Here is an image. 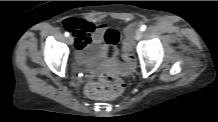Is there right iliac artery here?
<instances>
[{
    "instance_id": "right-iliac-artery-1",
    "label": "right iliac artery",
    "mask_w": 218,
    "mask_h": 122,
    "mask_svg": "<svg viewBox=\"0 0 218 122\" xmlns=\"http://www.w3.org/2000/svg\"><path fill=\"white\" fill-rule=\"evenodd\" d=\"M64 35H65L66 37H68V36H69V33H68V32H65Z\"/></svg>"
}]
</instances>
